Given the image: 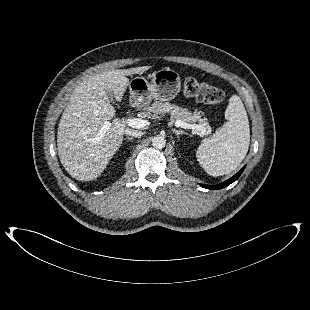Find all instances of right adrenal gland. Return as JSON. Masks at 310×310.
<instances>
[{
  "mask_svg": "<svg viewBox=\"0 0 310 310\" xmlns=\"http://www.w3.org/2000/svg\"><path fill=\"white\" fill-rule=\"evenodd\" d=\"M127 139H128V140H132L133 138H132V137H128Z\"/></svg>",
  "mask_w": 310,
  "mask_h": 310,
  "instance_id": "right-adrenal-gland-1",
  "label": "right adrenal gland"
}]
</instances>
